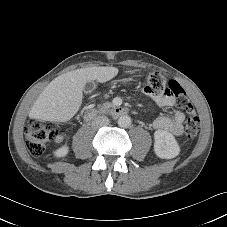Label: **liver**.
<instances>
[{
    "instance_id": "1",
    "label": "liver",
    "mask_w": 227,
    "mask_h": 227,
    "mask_svg": "<svg viewBox=\"0 0 227 227\" xmlns=\"http://www.w3.org/2000/svg\"><path fill=\"white\" fill-rule=\"evenodd\" d=\"M116 67H90L70 71L55 78L42 91L30 111L33 118L66 122L79 110L88 81L104 83L118 74Z\"/></svg>"
}]
</instances>
